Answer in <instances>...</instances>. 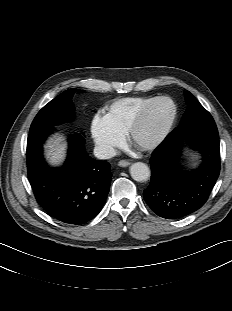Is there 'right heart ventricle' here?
Listing matches in <instances>:
<instances>
[{
    "mask_svg": "<svg viewBox=\"0 0 232 311\" xmlns=\"http://www.w3.org/2000/svg\"><path fill=\"white\" fill-rule=\"evenodd\" d=\"M154 98L153 96H132L116 99L106 107L104 118L114 131L125 135L140 109Z\"/></svg>",
    "mask_w": 232,
    "mask_h": 311,
    "instance_id": "right-heart-ventricle-1",
    "label": "right heart ventricle"
}]
</instances>
